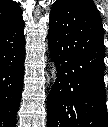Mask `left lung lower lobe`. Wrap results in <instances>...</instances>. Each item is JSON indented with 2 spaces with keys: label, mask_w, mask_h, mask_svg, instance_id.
Wrapping results in <instances>:
<instances>
[{
  "label": "left lung lower lobe",
  "mask_w": 108,
  "mask_h": 127,
  "mask_svg": "<svg viewBox=\"0 0 108 127\" xmlns=\"http://www.w3.org/2000/svg\"><path fill=\"white\" fill-rule=\"evenodd\" d=\"M104 29L93 0H56L49 48L57 79L48 97V127H108L104 84ZM76 67L70 86L66 71Z\"/></svg>",
  "instance_id": "1"
}]
</instances>
